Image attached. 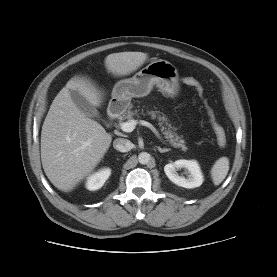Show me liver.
<instances>
[{
  "instance_id": "liver-1",
  "label": "liver",
  "mask_w": 277,
  "mask_h": 277,
  "mask_svg": "<svg viewBox=\"0 0 277 277\" xmlns=\"http://www.w3.org/2000/svg\"><path fill=\"white\" fill-rule=\"evenodd\" d=\"M147 59L143 52H120L105 58L108 72L128 75ZM77 90L93 106L102 95L87 79L75 76L54 98L41 131V162L50 182L68 192L89 176L107 152L112 135L97 121L83 114L69 90Z\"/></svg>"
}]
</instances>
